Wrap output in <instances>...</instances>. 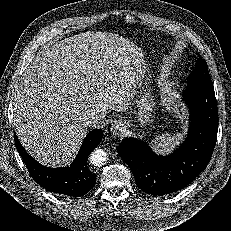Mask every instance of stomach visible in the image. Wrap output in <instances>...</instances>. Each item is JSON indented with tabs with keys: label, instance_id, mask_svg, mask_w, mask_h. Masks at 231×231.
<instances>
[{
	"label": "stomach",
	"instance_id": "0dacf381",
	"mask_svg": "<svg viewBox=\"0 0 231 231\" xmlns=\"http://www.w3.org/2000/svg\"><path fill=\"white\" fill-rule=\"evenodd\" d=\"M154 74L144 63L139 65L135 76L134 92L136 95L135 117L133 120L125 121L127 128H144L154 120L156 108L155 98L152 94V83Z\"/></svg>",
	"mask_w": 231,
	"mask_h": 231
}]
</instances>
